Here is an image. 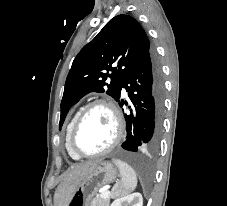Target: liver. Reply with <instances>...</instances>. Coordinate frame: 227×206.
<instances>
[{
    "instance_id": "1",
    "label": "liver",
    "mask_w": 227,
    "mask_h": 206,
    "mask_svg": "<svg viewBox=\"0 0 227 206\" xmlns=\"http://www.w3.org/2000/svg\"><path fill=\"white\" fill-rule=\"evenodd\" d=\"M96 162H86L72 167L65 175L58 186L55 196V206H68L73 192L78 187L80 182L98 165Z\"/></svg>"
}]
</instances>
